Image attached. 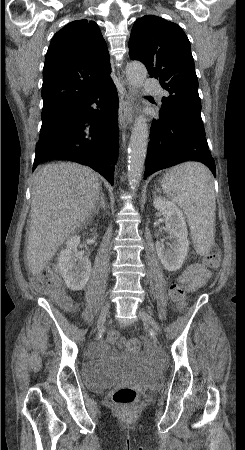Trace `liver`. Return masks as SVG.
<instances>
[{"label": "liver", "instance_id": "1", "mask_svg": "<svg viewBox=\"0 0 245 450\" xmlns=\"http://www.w3.org/2000/svg\"><path fill=\"white\" fill-rule=\"evenodd\" d=\"M100 192L98 178L82 165L56 163L36 170L27 244L28 266L34 275L41 273L68 236L89 220Z\"/></svg>", "mask_w": 245, "mask_h": 450}]
</instances>
